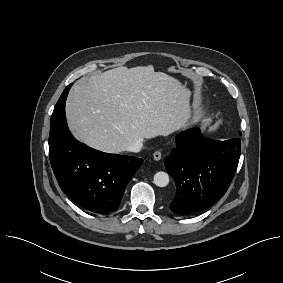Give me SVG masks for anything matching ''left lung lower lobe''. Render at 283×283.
<instances>
[{"label": "left lung lower lobe", "mask_w": 283, "mask_h": 283, "mask_svg": "<svg viewBox=\"0 0 283 283\" xmlns=\"http://www.w3.org/2000/svg\"><path fill=\"white\" fill-rule=\"evenodd\" d=\"M241 140L204 138L198 128L176 136V148L165 159V167L176 183L170 204L176 214L204 210L226 193L240 158Z\"/></svg>", "instance_id": "obj_1"}]
</instances>
